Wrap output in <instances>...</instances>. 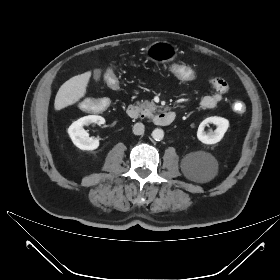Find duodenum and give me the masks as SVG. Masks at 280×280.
<instances>
[{
	"label": "duodenum",
	"mask_w": 280,
	"mask_h": 280,
	"mask_svg": "<svg viewBox=\"0 0 280 280\" xmlns=\"http://www.w3.org/2000/svg\"><path fill=\"white\" fill-rule=\"evenodd\" d=\"M126 112L128 117L131 119H138L142 116L141 110L136 104L128 105ZM175 116L174 111H163L153 119V122L159 126H167L174 121Z\"/></svg>",
	"instance_id": "1"
}]
</instances>
